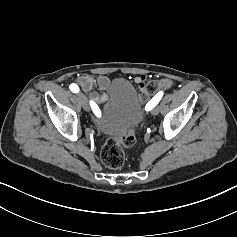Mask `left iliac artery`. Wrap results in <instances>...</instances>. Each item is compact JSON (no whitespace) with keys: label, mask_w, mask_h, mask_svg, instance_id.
Listing matches in <instances>:
<instances>
[{"label":"left iliac artery","mask_w":237,"mask_h":237,"mask_svg":"<svg viewBox=\"0 0 237 237\" xmlns=\"http://www.w3.org/2000/svg\"><path fill=\"white\" fill-rule=\"evenodd\" d=\"M163 96V92L160 91L159 93H157L148 103L147 105L145 106V109L147 111H150L151 109H153L158 103L159 101L161 100Z\"/></svg>","instance_id":"obj_1"}]
</instances>
